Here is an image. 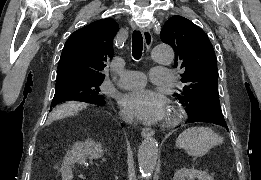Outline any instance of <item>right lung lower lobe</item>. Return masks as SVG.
I'll use <instances>...</instances> for the list:
<instances>
[{"label":"right lung lower lobe","mask_w":261,"mask_h":180,"mask_svg":"<svg viewBox=\"0 0 261 180\" xmlns=\"http://www.w3.org/2000/svg\"><path fill=\"white\" fill-rule=\"evenodd\" d=\"M105 104V101L103 103H99V104H96V105H104Z\"/></svg>","instance_id":"obj_1"}]
</instances>
